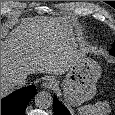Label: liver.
I'll use <instances>...</instances> for the list:
<instances>
[{
    "label": "liver",
    "instance_id": "liver-1",
    "mask_svg": "<svg viewBox=\"0 0 115 115\" xmlns=\"http://www.w3.org/2000/svg\"><path fill=\"white\" fill-rule=\"evenodd\" d=\"M83 53L59 18L30 17L8 33L1 31V98L12 92L19 74L68 72Z\"/></svg>",
    "mask_w": 115,
    "mask_h": 115
}]
</instances>
